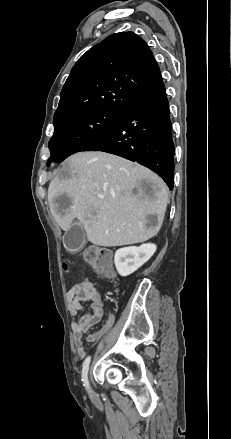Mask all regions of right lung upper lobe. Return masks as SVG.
Wrapping results in <instances>:
<instances>
[{
  "label": "right lung upper lobe",
  "instance_id": "right-lung-upper-lobe-1",
  "mask_svg": "<svg viewBox=\"0 0 231 439\" xmlns=\"http://www.w3.org/2000/svg\"><path fill=\"white\" fill-rule=\"evenodd\" d=\"M165 89L146 42L133 32L110 35L74 65L54 119L89 109L124 113L135 102Z\"/></svg>",
  "mask_w": 231,
  "mask_h": 439
}]
</instances>
